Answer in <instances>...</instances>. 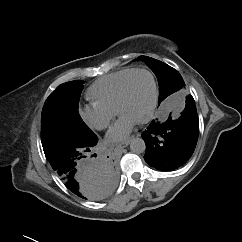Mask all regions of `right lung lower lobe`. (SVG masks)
Returning a JSON list of instances; mask_svg holds the SVG:
<instances>
[{
	"instance_id": "right-lung-lower-lobe-1",
	"label": "right lung lower lobe",
	"mask_w": 242,
	"mask_h": 242,
	"mask_svg": "<svg viewBox=\"0 0 242 242\" xmlns=\"http://www.w3.org/2000/svg\"><path fill=\"white\" fill-rule=\"evenodd\" d=\"M97 142L98 138L94 135L88 141L54 151L46 157L66 188L88 200L107 197L117 184L113 161L87 156Z\"/></svg>"
}]
</instances>
